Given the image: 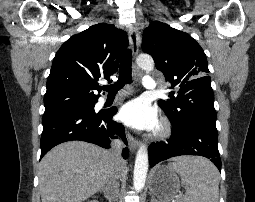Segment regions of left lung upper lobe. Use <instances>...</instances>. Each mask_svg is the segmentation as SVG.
<instances>
[{
	"label": "left lung upper lobe",
	"mask_w": 255,
	"mask_h": 202,
	"mask_svg": "<svg viewBox=\"0 0 255 202\" xmlns=\"http://www.w3.org/2000/svg\"><path fill=\"white\" fill-rule=\"evenodd\" d=\"M142 48L175 89L169 94V103L158 102L173 129L191 125L216 128L214 94L200 45L189 34L154 21L144 30Z\"/></svg>",
	"instance_id": "obj_1"
}]
</instances>
